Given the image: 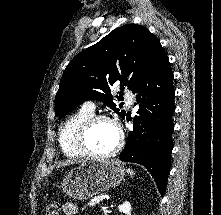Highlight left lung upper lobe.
I'll list each match as a JSON object with an SVG mask.
<instances>
[{"instance_id":"left-lung-upper-lobe-1","label":"left lung upper lobe","mask_w":221,"mask_h":215,"mask_svg":"<svg viewBox=\"0 0 221 215\" xmlns=\"http://www.w3.org/2000/svg\"><path fill=\"white\" fill-rule=\"evenodd\" d=\"M166 57L159 40L145 27L127 24L113 30L66 67L56 96V116L61 119L82 102L95 99L124 119L125 111L116 108L109 86L119 85L122 91L127 86L133 92Z\"/></svg>"}]
</instances>
